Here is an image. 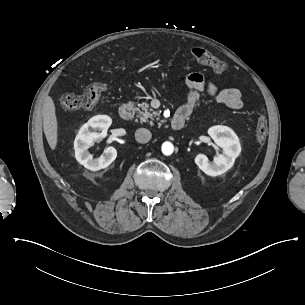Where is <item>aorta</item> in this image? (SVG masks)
<instances>
[{
    "instance_id": "762f6f07",
    "label": "aorta",
    "mask_w": 305,
    "mask_h": 305,
    "mask_svg": "<svg viewBox=\"0 0 305 305\" xmlns=\"http://www.w3.org/2000/svg\"><path fill=\"white\" fill-rule=\"evenodd\" d=\"M161 150L164 155L169 156L173 153L174 146L171 142L166 141L162 144Z\"/></svg>"
}]
</instances>
